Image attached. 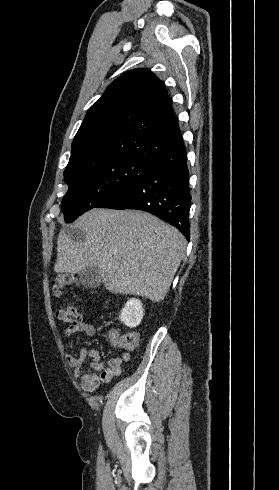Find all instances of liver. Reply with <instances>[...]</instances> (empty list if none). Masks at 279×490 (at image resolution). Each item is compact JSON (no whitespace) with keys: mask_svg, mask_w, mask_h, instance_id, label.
<instances>
[{"mask_svg":"<svg viewBox=\"0 0 279 490\" xmlns=\"http://www.w3.org/2000/svg\"><path fill=\"white\" fill-rule=\"evenodd\" d=\"M84 242L60 232L57 274L97 266L106 290L162 302L180 266L186 240L176 228L141 210L94 208L74 222Z\"/></svg>","mask_w":279,"mask_h":490,"instance_id":"1","label":"liver"}]
</instances>
